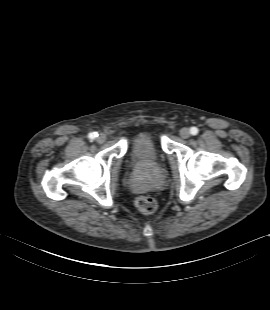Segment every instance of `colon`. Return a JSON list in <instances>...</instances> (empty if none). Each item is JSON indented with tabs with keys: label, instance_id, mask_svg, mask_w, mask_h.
<instances>
[{
	"label": "colon",
	"instance_id": "obj_1",
	"mask_svg": "<svg viewBox=\"0 0 270 310\" xmlns=\"http://www.w3.org/2000/svg\"><path fill=\"white\" fill-rule=\"evenodd\" d=\"M137 209L143 214H153L157 208L158 203L154 197L151 196H139L135 200Z\"/></svg>",
	"mask_w": 270,
	"mask_h": 310
}]
</instances>
